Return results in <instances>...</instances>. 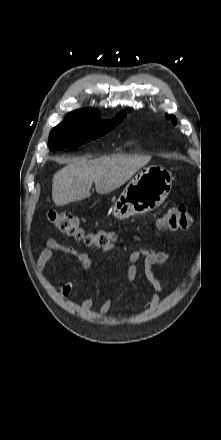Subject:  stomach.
<instances>
[{
  "label": "stomach",
  "mask_w": 221,
  "mask_h": 440,
  "mask_svg": "<svg viewBox=\"0 0 221 440\" xmlns=\"http://www.w3.org/2000/svg\"><path fill=\"white\" fill-rule=\"evenodd\" d=\"M172 174L160 166L142 169L126 185L113 207L117 219L142 215L161 205L172 188Z\"/></svg>",
  "instance_id": "stomach-1"
}]
</instances>
